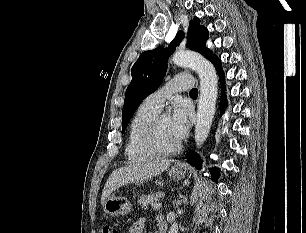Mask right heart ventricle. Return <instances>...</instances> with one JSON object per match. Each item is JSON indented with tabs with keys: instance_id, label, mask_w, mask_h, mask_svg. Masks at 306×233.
Here are the masks:
<instances>
[{
	"instance_id": "right-heart-ventricle-1",
	"label": "right heart ventricle",
	"mask_w": 306,
	"mask_h": 233,
	"mask_svg": "<svg viewBox=\"0 0 306 233\" xmlns=\"http://www.w3.org/2000/svg\"><path fill=\"white\" fill-rule=\"evenodd\" d=\"M158 112L143 102L132 117L125 146V155L129 162H142L154 156L143 146L142 137L147 124Z\"/></svg>"
}]
</instances>
